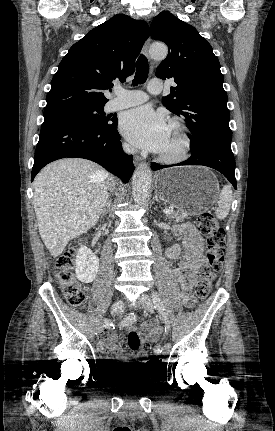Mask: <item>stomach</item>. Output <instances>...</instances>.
<instances>
[{
  "label": "stomach",
  "instance_id": "0dacf381",
  "mask_svg": "<svg viewBox=\"0 0 275 431\" xmlns=\"http://www.w3.org/2000/svg\"><path fill=\"white\" fill-rule=\"evenodd\" d=\"M155 190L172 207L193 216L208 210L217 200L219 183L205 167H176L160 171Z\"/></svg>",
  "mask_w": 275,
  "mask_h": 431
}]
</instances>
